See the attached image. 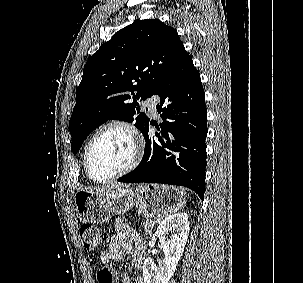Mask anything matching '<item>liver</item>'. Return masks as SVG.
<instances>
[{
    "label": "liver",
    "instance_id": "6515ba94",
    "mask_svg": "<svg viewBox=\"0 0 303 283\" xmlns=\"http://www.w3.org/2000/svg\"><path fill=\"white\" fill-rule=\"evenodd\" d=\"M129 185L127 184H122V183H117V182H111V183H107V184H103L101 186H94V187H89V188H85L84 190L91 192L93 194H102L106 191L115 189V188H119V187H127Z\"/></svg>",
    "mask_w": 303,
    "mask_h": 283
}]
</instances>
